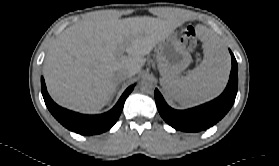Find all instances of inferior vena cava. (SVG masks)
<instances>
[{
  "instance_id": "1",
  "label": "inferior vena cava",
  "mask_w": 279,
  "mask_h": 166,
  "mask_svg": "<svg viewBox=\"0 0 279 166\" xmlns=\"http://www.w3.org/2000/svg\"><path fill=\"white\" fill-rule=\"evenodd\" d=\"M134 72H135L134 69L129 67L121 68L115 73V79L118 82L124 81L127 78L133 76Z\"/></svg>"
}]
</instances>
